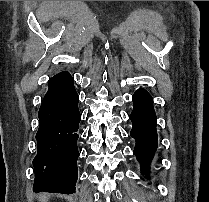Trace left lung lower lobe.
<instances>
[{
	"label": "left lung lower lobe",
	"instance_id": "1",
	"mask_svg": "<svg viewBox=\"0 0 209 202\" xmlns=\"http://www.w3.org/2000/svg\"><path fill=\"white\" fill-rule=\"evenodd\" d=\"M132 100L134 109L129 118L133 123L130 135L135 139L134 154L142 165L144 174L149 172V163L157 149L156 115L153 99L144 89H138Z\"/></svg>",
	"mask_w": 209,
	"mask_h": 202
}]
</instances>
